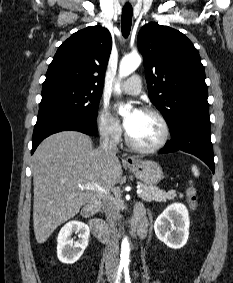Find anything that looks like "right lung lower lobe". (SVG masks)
I'll list each match as a JSON object with an SVG mask.
<instances>
[{
	"label": "right lung lower lobe",
	"mask_w": 233,
	"mask_h": 283,
	"mask_svg": "<svg viewBox=\"0 0 233 283\" xmlns=\"http://www.w3.org/2000/svg\"><path fill=\"white\" fill-rule=\"evenodd\" d=\"M68 130L95 135L97 133V123L95 120L78 118L64 113H48L39 116L34 127L31 154H33L40 142L49 135Z\"/></svg>",
	"instance_id": "obj_1"
}]
</instances>
